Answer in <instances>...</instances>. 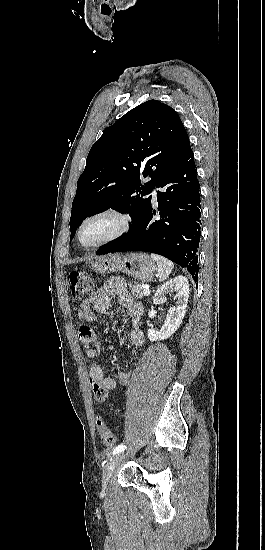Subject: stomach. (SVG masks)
Wrapping results in <instances>:
<instances>
[{
	"instance_id": "1",
	"label": "stomach",
	"mask_w": 265,
	"mask_h": 550,
	"mask_svg": "<svg viewBox=\"0 0 265 550\" xmlns=\"http://www.w3.org/2000/svg\"><path fill=\"white\" fill-rule=\"evenodd\" d=\"M90 268L100 274L123 272L142 282H150L157 270L155 263L145 253L110 254L96 257Z\"/></svg>"
}]
</instances>
